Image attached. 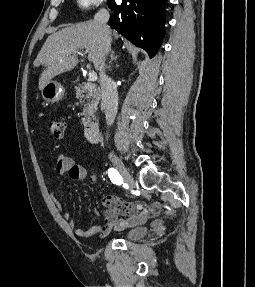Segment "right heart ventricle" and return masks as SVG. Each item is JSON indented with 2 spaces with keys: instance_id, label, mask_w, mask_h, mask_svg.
Wrapping results in <instances>:
<instances>
[{
  "instance_id": "right-heart-ventricle-1",
  "label": "right heart ventricle",
  "mask_w": 255,
  "mask_h": 287,
  "mask_svg": "<svg viewBox=\"0 0 255 287\" xmlns=\"http://www.w3.org/2000/svg\"><path fill=\"white\" fill-rule=\"evenodd\" d=\"M90 33V32H89ZM82 39H91V38H82ZM129 39V38H128ZM56 48V47H55ZM121 48H135V47H121Z\"/></svg>"
}]
</instances>
